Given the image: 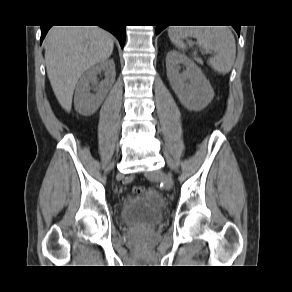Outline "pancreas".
<instances>
[{"mask_svg":"<svg viewBox=\"0 0 292 292\" xmlns=\"http://www.w3.org/2000/svg\"><path fill=\"white\" fill-rule=\"evenodd\" d=\"M197 62L202 64V60L200 58H196Z\"/></svg>","mask_w":292,"mask_h":292,"instance_id":"1","label":"pancreas"}]
</instances>
